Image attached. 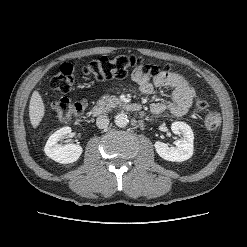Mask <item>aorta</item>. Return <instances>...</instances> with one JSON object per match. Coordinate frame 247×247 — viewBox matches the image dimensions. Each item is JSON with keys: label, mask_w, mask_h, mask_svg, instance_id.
Returning <instances> with one entry per match:
<instances>
[{"label": "aorta", "mask_w": 247, "mask_h": 247, "mask_svg": "<svg viewBox=\"0 0 247 247\" xmlns=\"http://www.w3.org/2000/svg\"><path fill=\"white\" fill-rule=\"evenodd\" d=\"M115 124L120 127V128H123V127H126L127 124H128V117L126 114L124 113H119L115 116Z\"/></svg>", "instance_id": "aorta-1"}]
</instances>
